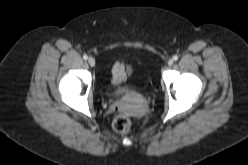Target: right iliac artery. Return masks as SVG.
<instances>
[{
    "label": "right iliac artery",
    "instance_id": "obj_1",
    "mask_svg": "<svg viewBox=\"0 0 248 165\" xmlns=\"http://www.w3.org/2000/svg\"><path fill=\"white\" fill-rule=\"evenodd\" d=\"M83 59L84 60H87L88 59V56L85 54V55H83Z\"/></svg>",
    "mask_w": 248,
    "mask_h": 165
}]
</instances>
